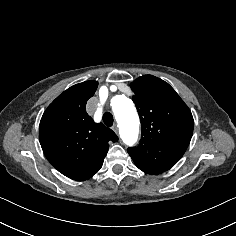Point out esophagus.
I'll return each mask as SVG.
<instances>
[{
  "mask_svg": "<svg viewBox=\"0 0 236 236\" xmlns=\"http://www.w3.org/2000/svg\"><path fill=\"white\" fill-rule=\"evenodd\" d=\"M112 130L117 134L118 133V127L116 124L112 126Z\"/></svg>",
  "mask_w": 236,
  "mask_h": 236,
  "instance_id": "34e87169",
  "label": "esophagus"
}]
</instances>
